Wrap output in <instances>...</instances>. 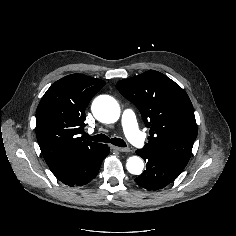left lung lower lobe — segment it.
<instances>
[{
    "mask_svg": "<svg viewBox=\"0 0 236 236\" xmlns=\"http://www.w3.org/2000/svg\"><path fill=\"white\" fill-rule=\"evenodd\" d=\"M137 155L146 162V170L135 181L149 191L159 190L173 182L182 172L183 168L171 163L157 152L145 148L138 149Z\"/></svg>",
    "mask_w": 236,
    "mask_h": 236,
    "instance_id": "1",
    "label": "left lung lower lobe"
}]
</instances>
